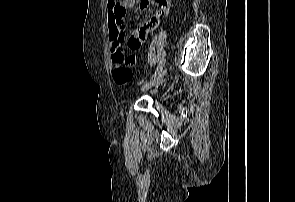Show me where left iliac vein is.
<instances>
[{
    "instance_id": "4c4485c4",
    "label": "left iliac vein",
    "mask_w": 295,
    "mask_h": 202,
    "mask_svg": "<svg viewBox=\"0 0 295 202\" xmlns=\"http://www.w3.org/2000/svg\"><path fill=\"white\" fill-rule=\"evenodd\" d=\"M166 73H167V68H164L156 76L152 77L149 81L144 83L141 87V91H146L154 87L155 85H157L163 79Z\"/></svg>"
}]
</instances>
